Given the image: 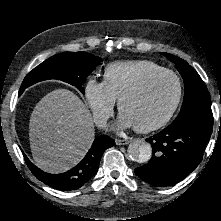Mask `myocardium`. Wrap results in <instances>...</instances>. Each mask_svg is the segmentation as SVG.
<instances>
[{"label":"myocardium","instance_id":"1","mask_svg":"<svg viewBox=\"0 0 221 221\" xmlns=\"http://www.w3.org/2000/svg\"><path fill=\"white\" fill-rule=\"evenodd\" d=\"M164 75L171 76L176 82L177 94H176V98L174 100V103L171 106L168 113L158 122L153 123L151 125H147V126H134V130L137 132L149 133L152 131H156V130L163 128L164 126H166L170 122V120L175 115V113L181 103V100H182L183 85H182L181 78L179 77V75L176 72H174L172 70L165 69V68L161 69V70H157V71H154V72H151V73L145 75L138 82H136L131 87H129L127 90H125L118 98V110H119V112H121L123 102L127 98L142 91L153 79L160 77V76H164Z\"/></svg>","mask_w":221,"mask_h":221}]
</instances>
